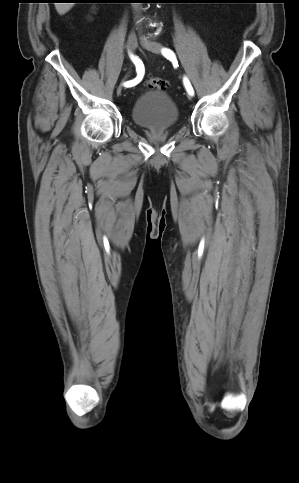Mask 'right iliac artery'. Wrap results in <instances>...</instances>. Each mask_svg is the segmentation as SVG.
Returning a JSON list of instances; mask_svg holds the SVG:
<instances>
[{
    "mask_svg": "<svg viewBox=\"0 0 299 483\" xmlns=\"http://www.w3.org/2000/svg\"><path fill=\"white\" fill-rule=\"evenodd\" d=\"M131 59L136 66L138 76L133 80L125 82L124 86H126V87H132V86L137 85L142 80L143 75H144V65L140 61V59L138 57L133 56V55H131Z\"/></svg>",
    "mask_w": 299,
    "mask_h": 483,
    "instance_id": "1",
    "label": "right iliac artery"
}]
</instances>
